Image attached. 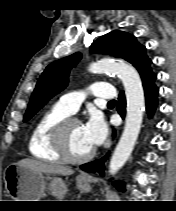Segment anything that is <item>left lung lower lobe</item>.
<instances>
[{"mask_svg":"<svg viewBox=\"0 0 176 211\" xmlns=\"http://www.w3.org/2000/svg\"><path fill=\"white\" fill-rule=\"evenodd\" d=\"M156 76H152L150 78H146L142 80L143 86H144V91H145V96H146V106H147V111L149 115L151 116L157 106V94H158V88L154 84ZM125 106H126V101L124 97V93L121 92L120 96L118 98V112L119 114L124 118L125 114ZM106 160V157H103L101 160H96L87 164H84L81 166V169L87 171V172H94L98 171L102 176H104V161ZM114 185L121 190L123 185L121 183H114Z\"/></svg>","mask_w":176,"mask_h":211,"instance_id":"obj_1","label":"left lung lower lobe"}]
</instances>
